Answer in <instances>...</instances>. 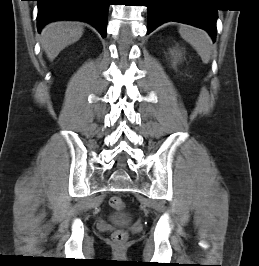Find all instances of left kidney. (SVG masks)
Here are the masks:
<instances>
[{
    "mask_svg": "<svg viewBox=\"0 0 259 266\" xmlns=\"http://www.w3.org/2000/svg\"><path fill=\"white\" fill-rule=\"evenodd\" d=\"M171 55L174 59V62H176L181 57V52L180 51H172Z\"/></svg>",
    "mask_w": 259,
    "mask_h": 266,
    "instance_id": "5707ae66",
    "label": "left kidney"
}]
</instances>
